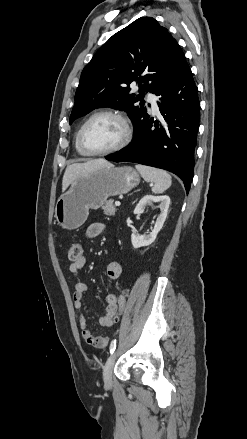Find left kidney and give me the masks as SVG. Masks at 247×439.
<instances>
[{
	"mask_svg": "<svg viewBox=\"0 0 247 439\" xmlns=\"http://www.w3.org/2000/svg\"><path fill=\"white\" fill-rule=\"evenodd\" d=\"M160 203V209H161V213L158 216L154 229L152 230V232L148 235H136L134 233H132L131 235V242H132V246L134 248H140L143 246H148L150 244H152L156 237L157 234L159 233V231L162 229L163 224L166 220L167 214H168V208L170 205V198L167 195H162V196H153V195H146L144 196L139 203L137 204V206L134 209V214H141L144 212V209L147 205H152V203Z\"/></svg>",
	"mask_w": 247,
	"mask_h": 439,
	"instance_id": "left-kidney-1",
	"label": "left kidney"
}]
</instances>
